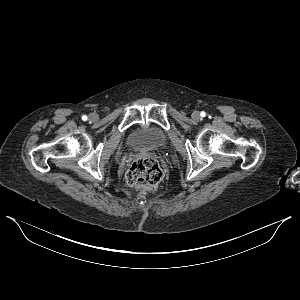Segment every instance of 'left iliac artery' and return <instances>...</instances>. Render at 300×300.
<instances>
[{"instance_id":"left-iliac-artery-1","label":"left iliac artery","mask_w":300,"mask_h":300,"mask_svg":"<svg viewBox=\"0 0 300 300\" xmlns=\"http://www.w3.org/2000/svg\"><path fill=\"white\" fill-rule=\"evenodd\" d=\"M201 116H202V117H204V116H205V113H204V112H202V113H201Z\"/></svg>"}]
</instances>
